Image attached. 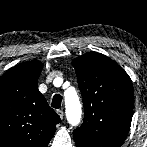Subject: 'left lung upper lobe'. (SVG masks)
<instances>
[{"label": "left lung upper lobe", "instance_id": "obj_1", "mask_svg": "<svg viewBox=\"0 0 147 147\" xmlns=\"http://www.w3.org/2000/svg\"><path fill=\"white\" fill-rule=\"evenodd\" d=\"M84 103L74 130L77 147H120L130 128L134 93L130 77L110 58L88 52L72 61Z\"/></svg>", "mask_w": 147, "mask_h": 147}]
</instances>
